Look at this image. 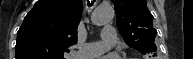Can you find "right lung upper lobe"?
<instances>
[{"mask_svg":"<svg viewBox=\"0 0 193 59\" xmlns=\"http://www.w3.org/2000/svg\"><path fill=\"white\" fill-rule=\"evenodd\" d=\"M82 0H39L17 33L16 59H63L77 42Z\"/></svg>","mask_w":193,"mask_h":59,"instance_id":"obj_1","label":"right lung upper lobe"}]
</instances>
